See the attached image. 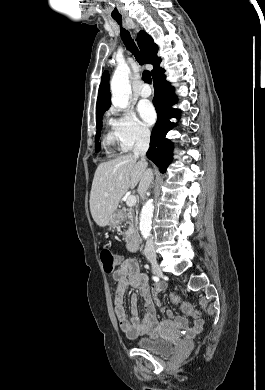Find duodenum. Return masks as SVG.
Instances as JSON below:
<instances>
[{"label":"duodenum","mask_w":265,"mask_h":390,"mask_svg":"<svg viewBox=\"0 0 265 390\" xmlns=\"http://www.w3.org/2000/svg\"><path fill=\"white\" fill-rule=\"evenodd\" d=\"M124 219V214L123 213H117L116 214V220L118 222L122 221ZM140 247L139 244V238L137 235L132 234L128 237L127 239V248L130 251H137Z\"/></svg>","instance_id":"duodenum-1"}]
</instances>
